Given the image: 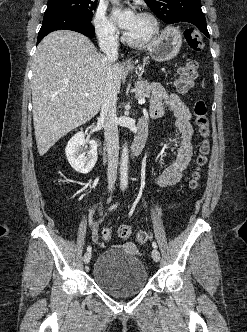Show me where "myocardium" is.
Returning a JSON list of instances; mask_svg holds the SVG:
<instances>
[{
  "mask_svg": "<svg viewBox=\"0 0 247 332\" xmlns=\"http://www.w3.org/2000/svg\"><path fill=\"white\" fill-rule=\"evenodd\" d=\"M140 16L148 19L151 23V29L149 33L140 39H133L129 37L126 33L123 36L124 41L132 47H143L150 43L154 38L157 37L160 31V25L156 16L150 12H141Z\"/></svg>",
  "mask_w": 247,
  "mask_h": 332,
  "instance_id": "myocardium-1",
  "label": "myocardium"
}]
</instances>
